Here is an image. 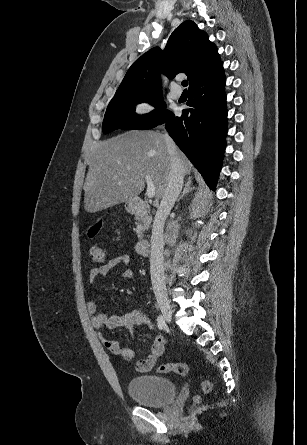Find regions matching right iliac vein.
I'll return each instance as SVG.
<instances>
[{
    "label": "right iliac vein",
    "instance_id": "63e3f726",
    "mask_svg": "<svg viewBox=\"0 0 307 445\" xmlns=\"http://www.w3.org/2000/svg\"><path fill=\"white\" fill-rule=\"evenodd\" d=\"M158 304L164 319L169 323L172 319V308L169 301L165 298H161L158 300Z\"/></svg>",
    "mask_w": 307,
    "mask_h": 445
}]
</instances>
